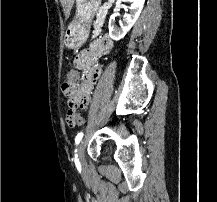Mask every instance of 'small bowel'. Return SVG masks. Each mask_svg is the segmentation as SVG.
<instances>
[{
    "mask_svg": "<svg viewBox=\"0 0 217 202\" xmlns=\"http://www.w3.org/2000/svg\"><path fill=\"white\" fill-rule=\"evenodd\" d=\"M113 49V41L108 35H103L88 49L82 50L75 58L77 69H85L83 75L84 95H91L94 84L102 73V66L93 64V59L108 55ZM75 114V112H74ZM73 114H68L70 116Z\"/></svg>",
    "mask_w": 217,
    "mask_h": 202,
    "instance_id": "1",
    "label": "small bowel"
}]
</instances>
